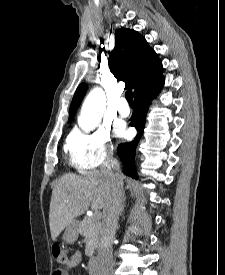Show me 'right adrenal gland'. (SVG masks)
I'll return each mask as SVG.
<instances>
[{"label": "right adrenal gland", "mask_w": 225, "mask_h": 275, "mask_svg": "<svg viewBox=\"0 0 225 275\" xmlns=\"http://www.w3.org/2000/svg\"><path fill=\"white\" fill-rule=\"evenodd\" d=\"M124 207H125V198L122 200L120 205V214H122V212L124 211Z\"/></svg>", "instance_id": "right-adrenal-gland-1"}]
</instances>
